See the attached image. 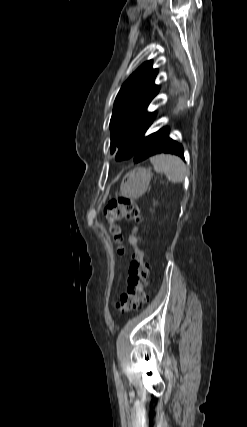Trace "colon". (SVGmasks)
Wrapping results in <instances>:
<instances>
[{"label":"colon","instance_id":"colon-1","mask_svg":"<svg viewBox=\"0 0 247 427\" xmlns=\"http://www.w3.org/2000/svg\"><path fill=\"white\" fill-rule=\"evenodd\" d=\"M104 216L108 231L118 244V252L123 253V235L120 222L122 220L141 221L143 216L137 204L130 198L121 197L108 203L104 209ZM148 264L145 252L139 250L133 253L129 265L128 286L116 303V309L121 312L136 311L143 307L147 300L146 286L148 278Z\"/></svg>","mask_w":247,"mask_h":427}]
</instances>
